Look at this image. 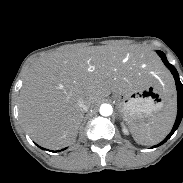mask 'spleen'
<instances>
[{
    "label": "spleen",
    "instance_id": "obj_1",
    "mask_svg": "<svg viewBox=\"0 0 183 183\" xmlns=\"http://www.w3.org/2000/svg\"><path fill=\"white\" fill-rule=\"evenodd\" d=\"M176 116V103L169 100L164 109L151 115L147 122L130 123L134 140L141 145H154L162 141L171 131Z\"/></svg>",
    "mask_w": 183,
    "mask_h": 183
}]
</instances>
